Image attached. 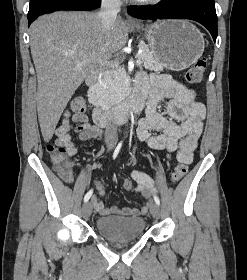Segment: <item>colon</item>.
<instances>
[{"label":"colon","mask_w":247,"mask_h":280,"mask_svg":"<svg viewBox=\"0 0 247 280\" xmlns=\"http://www.w3.org/2000/svg\"><path fill=\"white\" fill-rule=\"evenodd\" d=\"M206 69L205 59L197 60L188 70L186 78L190 83H198L201 81ZM71 111L76 115H83L85 112V103L82 99L76 98L70 104ZM47 152L51 157V161L56 168L59 176L67 178L70 175L69 163L67 161L66 149L59 144H48ZM187 173V166L185 164H178L171 175V180L176 183L179 182ZM123 187L126 190L133 188V182L130 179H123Z\"/></svg>","instance_id":"1"}]
</instances>
